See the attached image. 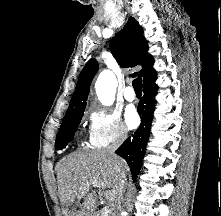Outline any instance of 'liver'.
I'll use <instances>...</instances> for the list:
<instances>
[{
    "mask_svg": "<svg viewBox=\"0 0 221 216\" xmlns=\"http://www.w3.org/2000/svg\"><path fill=\"white\" fill-rule=\"evenodd\" d=\"M119 160L126 171V162ZM56 171L63 216H95L98 187L114 191L116 197L118 179L114 158L105 150L73 152L58 163Z\"/></svg>",
    "mask_w": 221,
    "mask_h": 216,
    "instance_id": "obj_1",
    "label": "liver"
}]
</instances>
